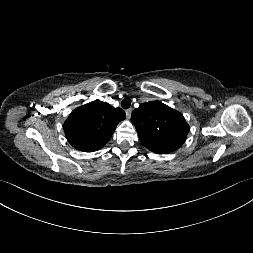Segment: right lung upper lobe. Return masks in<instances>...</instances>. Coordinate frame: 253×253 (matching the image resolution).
Listing matches in <instances>:
<instances>
[{"label":"right lung upper lobe","instance_id":"cb5924a9","mask_svg":"<svg viewBox=\"0 0 253 253\" xmlns=\"http://www.w3.org/2000/svg\"><path fill=\"white\" fill-rule=\"evenodd\" d=\"M126 118L121 108H114L100 100L74 109L63 128L68 142L76 149L93 152L104 147L117 124Z\"/></svg>","mask_w":253,"mask_h":253}]
</instances>
